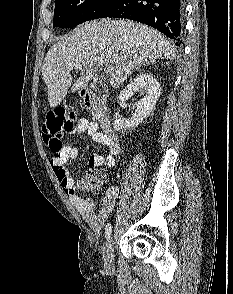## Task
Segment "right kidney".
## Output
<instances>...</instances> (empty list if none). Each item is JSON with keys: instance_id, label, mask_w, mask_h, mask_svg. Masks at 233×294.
<instances>
[{"instance_id": "right-kidney-1", "label": "right kidney", "mask_w": 233, "mask_h": 294, "mask_svg": "<svg viewBox=\"0 0 233 294\" xmlns=\"http://www.w3.org/2000/svg\"><path fill=\"white\" fill-rule=\"evenodd\" d=\"M136 91H140L144 97L137 103L134 115L128 120L115 119L113 126L115 131L137 127L152 112L161 94L159 82L147 72L139 73L119 94L118 99L124 102L131 98Z\"/></svg>"}]
</instances>
